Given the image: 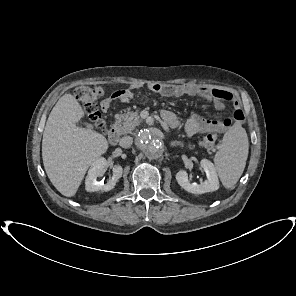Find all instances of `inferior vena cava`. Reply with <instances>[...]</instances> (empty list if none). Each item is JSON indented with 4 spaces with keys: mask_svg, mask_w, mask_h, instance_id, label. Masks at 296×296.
I'll return each mask as SVG.
<instances>
[{
    "mask_svg": "<svg viewBox=\"0 0 296 296\" xmlns=\"http://www.w3.org/2000/svg\"><path fill=\"white\" fill-rule=\"evenodd\" d=\"M119 144L123 148H129L133 144V138L131 136H124L120 139Z\"/></svg>",
    "mask_w": 296,
    "mask_h": 296,
    "instance_id": "obj_1",
    "label": "inferior vena cava"
}]
</instances>
